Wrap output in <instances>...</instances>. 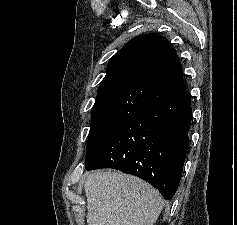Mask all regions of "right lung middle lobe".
<instances>
[{"mask_svg":"<svg viewBox=\"0 0 237 225\" xmlns=\"http://www.w3.org/2000/svg\"><path fill=\"white\" fill-rule=\"evenodd\" d=\"M126 120L120 119H100L92 120L89 140L86 148V156L107 136L126 123Z\"/></svg>","mask_w":237,"mask_h":225,"instance_id":"obj_1","label":"right lung middle lobe"}]
</instances>
